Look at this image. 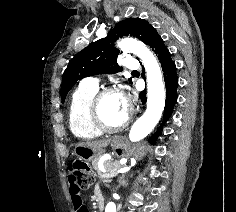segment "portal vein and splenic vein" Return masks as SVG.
Wrapping results in <instances>:
<instances>
[{"label":"portal vein and splenic vein","mask_w":236,"mask_h":212,"mask_svg":"<svg viewBox=\"0 0 236 212\" xmlns=\"http://www.w3.org/2000/svg\"><path fill=\"white\" fill-rule=\"evenodd\" d=\"M105 173L103 175L104 178H109V177H113V176H116L118 173H119V170H114V171H105L103 170Z\"/></svg>","instance_id":"1"}]
</instances>
